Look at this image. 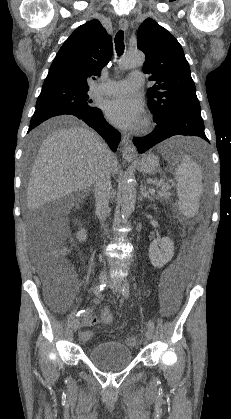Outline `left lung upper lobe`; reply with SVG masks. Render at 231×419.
Here are the masks:
<instances>
[{"label":"left lung upper lobe","mask_w":231,"mask_h":419,"mask_svg":"<svg viewBox=\"0 0 231 419\" xmlns=\"http://www.w3.org/2000/svg\"><path fill=\"white\" fill-rule=\"evenodd\" d=\"M138 48L146 56L143 72L156 82L147 91L154 116L165 118L184 110H200L190 67L177 39L147 18L138 29Z\"/></svg>","instance_id":"5c2ea615"}]
</instances>
